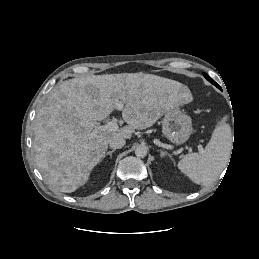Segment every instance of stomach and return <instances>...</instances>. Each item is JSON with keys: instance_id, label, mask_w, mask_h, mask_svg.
I'll return each instance as SVG.
<instances>
[{"instance_id": "stomach-1", "label": "stomach", "mask_w": 259, "mask_h": 259, "mask_svg": "<svg viewBox=\"0 0 259 259\" xmlns=\"http://www.w3.org/2000/svg\"><path fill=\"white\" fill-rule=\"evenodd\" d=\"M183 93H189L186 86L182 87ZM162 132L164 136L176 145L185 143L192 133L191 118L174 108L164 114L162 121Z\"/></svg>"}]
</instances>
